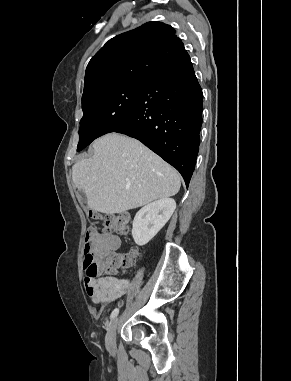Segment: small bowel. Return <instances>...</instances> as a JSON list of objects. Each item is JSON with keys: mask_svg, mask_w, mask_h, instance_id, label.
I'll return each instance as SVG.
<instances>
[{"mask_svg": "<svg viewBox=\"0 0 291 381\" xmlns=\"http://www.w3.org/2000/svg\"><path fill=\"white\" fill-rule=\"evenodd\" d=\"M100 251H115L120 247L121 240L117 235L103 234L96 231L93 234ZM84 285L87 295L94 303L112 302L122 297L128 289V281L115 276L85 277Z\"/></svg>", "mask_w": 291, "mask_h": 381, "instance_id": "1", "label": "small bowel"}]
</instances>
